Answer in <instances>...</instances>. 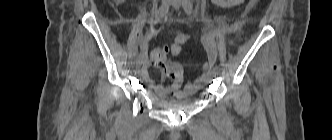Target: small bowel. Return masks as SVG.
<instances>
[{"label": "small bowel", "instance_id": "1", "mask_svg": "<svg viewBox=\"0 0 332 140\" xmlns=\"http://www.w3.org/2000/svg\"><path fill=\"white\" fill-rule=\"evenodd\" d=\"M245 0H212L215 7H222L226 9L234 8L241 5ZM190 39V35L183 33L177 35L170 44V52L173 55H179L183 51V45ZM199 43L205 51L206 60L203 65L202 74L195 80L184 87L183 84V72L179 65H170L167 68L162 69V79L160 82H155L149 75L148 67L150 64L163 65L165 60L159 61L156 57L157 50L154 49L151 52L150 60L145 61L140 75L146 84L154 90V92L160 97L175 96L176 98H182L186 95H190L204 86L210 79V70L217 61L218 53L214 45L211 36H203L199 39ZM166 78H171L172 82L169 85L164 84Z\"/></svg>", "mask_w": 332, "mask_h": 140}]
</instances>
